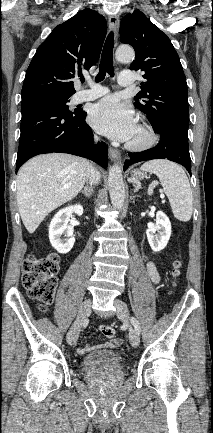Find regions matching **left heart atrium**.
<instances>
[{
  "label": "left heart atrium",
  "instance_id": "1",
  "mask_svg": "<svg viewBox=\"0 0 213 433\" xmlns=\"http://www.w3.org/2000/svg\"><path fill=\"white\" fill-rule=\"evenodd\" d=\"M89 122L98 132L118 141H128L137 127L131 106L114 96L106 97L92 107Z\"/></svg>",
  "mask_w": 213,
  "mask_h": 433
}]
</instances>
